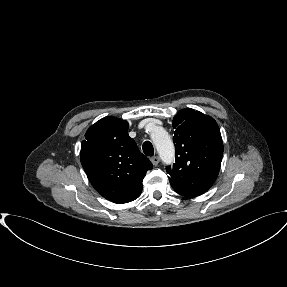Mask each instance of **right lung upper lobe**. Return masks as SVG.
Wrapping results in <instances>:
<instances>
[{
  "instance_id": "obj_1",
  "label": "right lung upper lobe",
  "mask_w": 287,
  "mask_h": 287,
  "mask_svg": "<svg viewBox=\"0 0 287 287\" xmlns=\"http://www.w3.org/2000/svg\"><path fill=\"white\" fill-rule=\"evenodd\" d=\"M129 124L105 117L92 125L81 144V164L92 186L105 199L122 204L142 192V181L153 165L127 133Z\"/></svg>"
}]
</instances>
